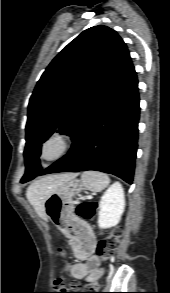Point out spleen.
<instances>
[{
	"instance_id": "1",
	"label": "spleen",
	"mask_w": 170,
	"mask_h": 293,
	"mask_svg": "<svg viewBox=\"0 0 170 293\" xmlns=\"http://www.w3.org/2000/svg\"><path fill=\"white\" fill-rule=\"evenodd\" d=\"M81 180L84 187L92 192H100L110 183V179L106 174L97 171L83 172Z\"/></svg>"
}]
</instances>
